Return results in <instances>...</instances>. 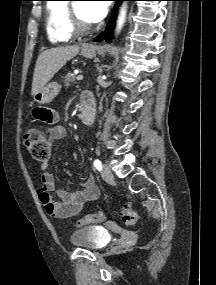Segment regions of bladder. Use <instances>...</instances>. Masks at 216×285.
<instances>
[{"instance_id":"bladder-1","label":"bladder","mask_w":216,"mask_h":285,"mask_svg":"<svg viewBox=\"0 0 216 285\" xmlns=\"http://www.w3.org/2000/svg\"><path fill=\"white\" fill-rule=\"evenodd\" d=\"M111 240L109 231L100 226H86L75 230L70 236V242L80 248L100 250Z\"/></svg>"}]
</instances>
